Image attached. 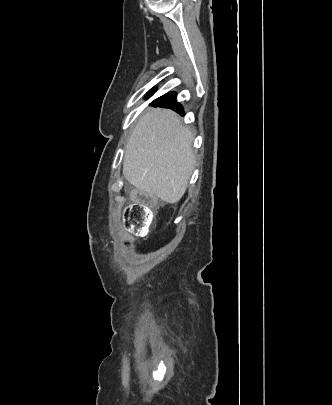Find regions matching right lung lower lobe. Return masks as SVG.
<instances>
[{
  "mask_svg": "<svg viewBox=\"0 0 332 405\" xmlns=\"http://www.w3.org/2000/svg\"><path fill=\"white\" fill-rule=\"evenodd\" d=\"M153 106H159V107H164V108H170L181 115H184L183 107L176 102V93L175 92H170L167 93L156 100L152 102Z\"/></svg>",
  "mask_w": 332,
  "mask_h": 405,
  "instance_id": "obj_1",
  "label": "right lung lower lobe"
}]
</instances>
